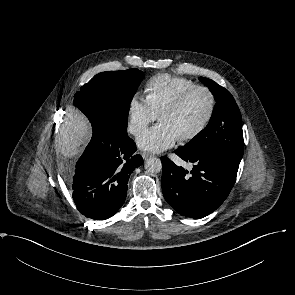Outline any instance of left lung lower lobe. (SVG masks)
<instances>
[{
  "instance_id": "0a47b994",
  "label": "left lung lower lobe",
  "mask_w": 295,
  "mask_h": 295,
  "mask_svg": "<svg viewBox=\"0 0 295 295\" xmlns=\"http://www.w3.org/2000/svg\"><path fill=\"white\" fill-rule=\"evenodd\" d=\"M175 153L194 163L190 175L167 157L162 162V192L167 203L179 214L200 219L215 211L228 197L239 163L225 155L211 152Z\"/></svg>"
}]
</instances>
